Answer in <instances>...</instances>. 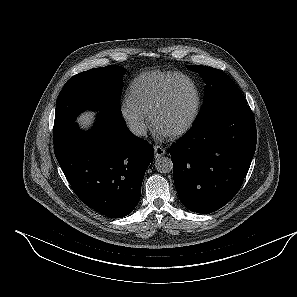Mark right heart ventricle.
<instances>
[{"label":"right heart ventricle","instance_id":"1","mask_svg":"<svg viewBox=\"0 0 297 297\" xmlns=\"http://www.w3.org/2000/svg\"><path fill=\"white\" fill-rule=\"evenodd\" d=\"M176 72L148 71L137 76L130 84L129 98L145 114L162 94L167 84L176 76Z\"/></svg>","mask_w":297,"mask_h":297}]
</instances>
